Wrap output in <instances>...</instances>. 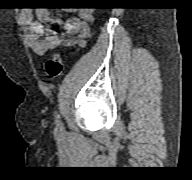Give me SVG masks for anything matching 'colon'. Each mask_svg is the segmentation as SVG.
<instances>
[{
	"label": "colon",
	"mask_w": 192,
	"mask_h": 180,
	"mask_svg": "<svg viewBox=\"0 0 192 180\" xmlns=\"http://www.w3.org/2000/svg\"><path fill=\"white\" fill-rule=\"evenodd\" d=\"M64 70V61L62 55L54 53L45 64V71L49 78L55 79L62 75Z\"/></svg>",
	"instance_id": "colon-1"
}]
</instances>
